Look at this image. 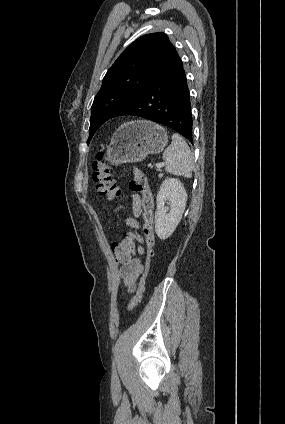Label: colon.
<instances>
[{
	"instance_id": "colon-1",
	"label": "colon",
	"mask_w": 285,
	"mask_h": 424,
	"mask_svg": "<svg viewBox=\"0 0 285 424\" xmlns=\"http://www.w3.org/2000/svg\"><path fill=\"white\" fill-rule=\"evenodd\" d=\"M106 151L100 150L96 154L93 162V180L96 183L97 191L100 195L106 196L109 199H115L121 196V190L111 176L110 166L106 163ZM132 180L130 190L142 195V203L145 210L144 213V233L148 246L145 271L139 281L138 290L131 302L128 305V310L135 309L142 300L145 289V280L151 260L154 256L155 237L153 231V207L154 201L152 192L149 187L146 176L136 168L130 169ZM111 251L117 262L129 259L134 253V243L130 237H125L121 241L114 242L111 246Z\"/></svg>"
}]
</instances>
